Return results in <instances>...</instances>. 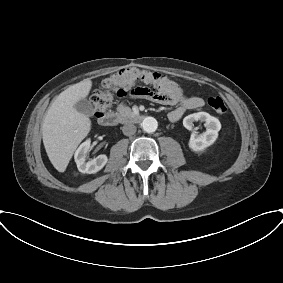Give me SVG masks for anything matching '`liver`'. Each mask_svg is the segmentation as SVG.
I'll return each mask as SVG.
<instances>
[{
	"label": "liver",
	"mask_w": 283,
	"mask_h": 283,
	"mask_svg": "<svg viewBox=\"0 0 283 283\" xmlns=\"http://www.w3.org/2000/svg\"><path fill=\"white\" fill-rule=\"evenodd\" d=\"M90 79L64 90L52 103L42 124V138L46 153L54 168L64 172L74 151L91 130L90 119L78 112L74 105L88 96Z\"/></svg>",
	"instance_id": "6515ba94"
}]
</instances>
